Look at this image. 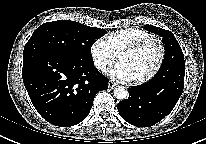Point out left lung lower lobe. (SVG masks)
I'll list each match as a JSON object with an SVG mask.
<instances>
[{
  "mask_svg": "<svg viewBox=\"0 0 206 144\" xmlns=\"http://www.w3.org/2000/svg\"><path fill=\"white\" fill-rule=\"evenodd\" d=\"M185 67L167 70L160 79L129 88V97L117 105L119 114L137 127H150L175 107L184 88Z\"/></svg>",
  "mask_w": 206,
  "mask_h": 144,
  "instance_id": "0a47b994",
  "label": "left lung lower lobe"
}]
</instances>
